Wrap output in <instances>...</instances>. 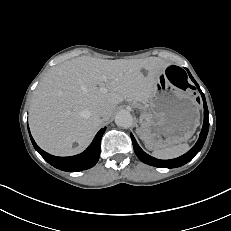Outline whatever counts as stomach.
Here are the masks:
<instances>
[{
	"mask_svg": "<svg viewBox=\"0 0 231 231\" xmlns=\"http://www.w3.org/2000/svg\"><path fill=\"white\" fill-rule=\"evenodd\" d=\"M148 104L149 108H141L140 123L141 135L149 149L185 142L199 125L200 105L196 97L173 84L165 70L158 73Z\"/></svg>",
	"mask_w": 231,
	"mask_h": 231,
	"instance_id": "0dacf381",
	"label": "stomach"
}]
</instances>
